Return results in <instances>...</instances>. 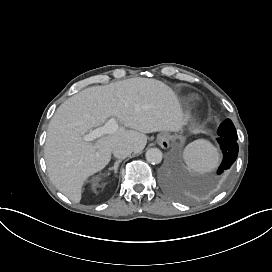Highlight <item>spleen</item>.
Listing matches in <instances>:
<instances>
[{
  "label": "spleen",
  "mask_w": 272,
  "mask_h": 272,
  "mask_svg": "<svg viewBox=\"0 0 272 272\" xmlns=\"http://www.w3.org/2000/svg\"><path fill=\"white\" fill-rule=\"evenodd\" d=\"M184 153L186 162L196 171H209L218 161L215 148L200 140L190 144Z\"/></svg>",
  "instance_id": "obj_1"
}]
</instances>
